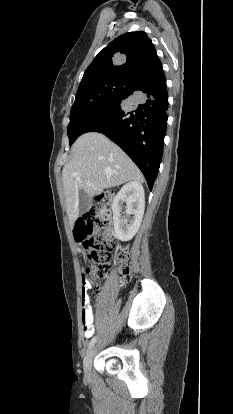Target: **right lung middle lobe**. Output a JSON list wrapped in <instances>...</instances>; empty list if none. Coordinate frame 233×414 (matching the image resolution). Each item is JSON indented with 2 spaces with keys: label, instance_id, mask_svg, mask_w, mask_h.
<instances>
[{
  "label": "right lung middle lobe",
  "instance_id": "obj_1",
  "mask_svg": "<svg viewBox=\"0 0 233 414\" xmlns=\"http://www.w3.org/2000/svg\"><path fill=\"white\" fill-rule=\"evenodd\" d=\"M131 81L106 78L78 89L67 128L70 145L79 137L82 124L93 114L110 105L129 89Z\"/></svg>",
  "mask_w": 233,
  "mask_h": 414
}]
</instances>
